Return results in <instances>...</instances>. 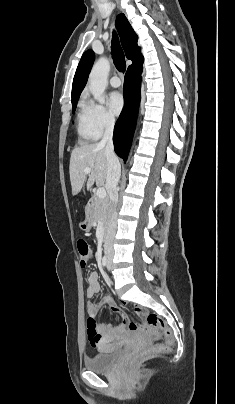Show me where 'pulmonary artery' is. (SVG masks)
I'll return each mask as SVG.
<instances>
[{
    "label": "pulmonary artery",
    "mask_w": 235,
    "mask_h": 404,
    "mask_svg": "<svg viewBox=\"0 0 235 404\" xmlns=\"http://www.w3.org/2000/svg\"><path fill=\"white\" fill-rule=\"evenodd\" d=\"M110 85L114 88H118L121 85V80L117 76H113L110 79Z\"/></svg>",
    "instance_id": "pulmonary-artery-1"
}]
</instances>
